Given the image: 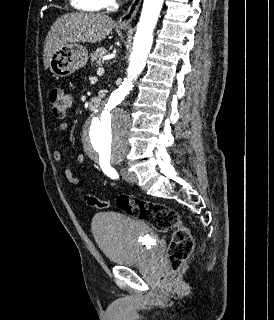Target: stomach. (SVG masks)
I'll return each mask as SVG.
<instances>
[{
  "label": "stomach",
  "mask_w": 274,
  "mask_h": 320,
  "mask_svg": "<svg viewBox=\"0 0 274 320\" xmlns=\"http://www.w3.org/2000/svg\"><path fill=\"white\" fill-rule=\"evenodd\" d=\"M121 28V26H120ZM127 30V28H121ZM88 62V52L83 46H70V48H60L52 58H50V72L56 78H66L74 74L76 70L84 68Z\"/></svg>",
  "instance_id": "0dacf381"
}]
</instances>
